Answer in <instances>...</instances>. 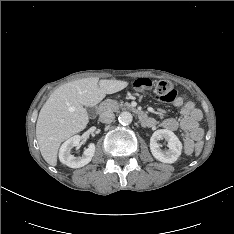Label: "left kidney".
I'll return each mask as SVG.
<instances>
[{
    "label": "left kidney",
    "instance_id": "obj_1",
    "mask_svg": "<svg viewBox=\"0 0 234 234\" xmlns=\"http://www.w3.org/2000/svg\"><path fill=\"white\" fill-rule=\"evenodd\" d=\"M165 139L168 142L169 150L160 149L158 141ZM150 150L154 158L163 163H174L181 155L182 143L179 138L170 130H156L150 138Z\"/></svg>",
    "mask_w": 234,
    "mask_h": 234
}]
</instances>
